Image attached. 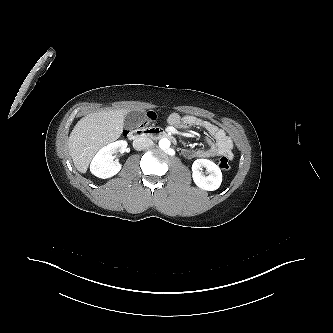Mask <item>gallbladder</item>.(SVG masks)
Listing matches in <instances>:
<instances>
[{"label":"gallbladder","mask_w":333,"mask_h":333,"mask_svg":"<svg viewBox=\"0 0 333 333\" xmlns=\"http://www.w3.org/2000/svg\"><path fill=\"white\" fill-rule=\"evenodd\" d=\"M144 111H132L127 114L124 126L129 129H134L144 120Z\"/></svg>","instance_id":"1"}]
</instances>
